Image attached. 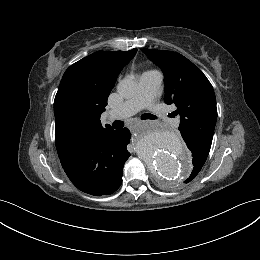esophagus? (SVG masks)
<instances>
[{"label": "esophagus", "instance_id": "esophagus-1", "mask_svg": "<svg viewBox=\"0 0 260 260\" xmlns=\"http://www.w3.org/2000/svg\"><path fill=\"white\" fill-rule=\"evenodd\" d=\"M138 123H143V121H138Z\"/></svg>", "mask_w": 260, "mask_h": 260}]
</instances>
